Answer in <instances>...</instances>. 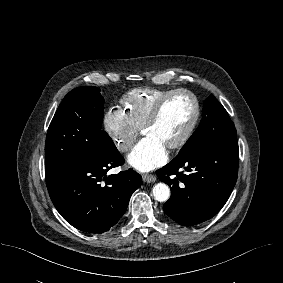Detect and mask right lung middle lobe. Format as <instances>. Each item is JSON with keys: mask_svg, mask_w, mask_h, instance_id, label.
Listing matches in <instances>:
<instances>
[{"mask_svg": "<svg viewBox=\"0 0 283 283\" xmlns=\"http://www.w3.org/2000/svg\"><path fill=\"white\" fill-rule=\"evenodd\" d=\"M104 99L96 87L70 91L58 107L46 137V173L95 156L114 143L101 130Z\"/></svg>", "mask_w": 283, "mask_h": 283, "instance_id": "1", "label": "right lung middle lobe"}]
</instances>
